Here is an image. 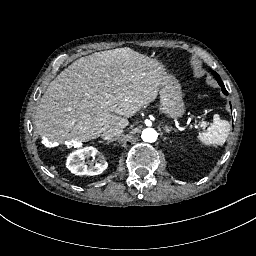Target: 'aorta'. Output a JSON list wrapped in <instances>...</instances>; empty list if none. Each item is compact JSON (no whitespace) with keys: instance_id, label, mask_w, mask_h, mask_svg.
<instances>
[{"instance_id":"aorta-1","label":"aorta","mask_w":256,"mask_h":256,"mask_svg":"<svg viewBox=\"0 0 256 256\" xmlns=\"http://www.w3.org/2000/svg\"><path fill=\"white\" fill-rule=\"evenodd\" d=\"M145 133V136L143 134ZM145 137V138H144ZM141 138L145 142H155L158 138V133L153 128H146L142 131Z\"/></svg>"}]
</instances>
